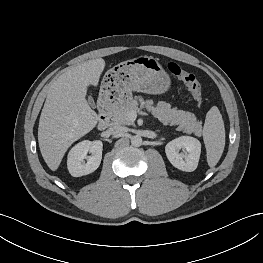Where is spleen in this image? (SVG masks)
<instances>
[{"label": "spleen", "mask_w": 263, "mask_h": 263, "mask_svg": "<svg viewBox=\"0 0 263 263\" xmlns=\"http://www.w3.org/2000/svg\"><path fill=\"white\" fill-rule=\"evenodd\" d=\"M203 140L206 147L207 163L210 167H214L220 160L225 147V127L217 106L211 107L206 114Z\"/></svg>", "instance_id": "3e777b00"}]
</instances>
